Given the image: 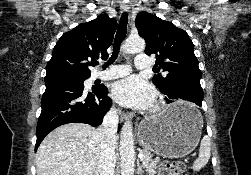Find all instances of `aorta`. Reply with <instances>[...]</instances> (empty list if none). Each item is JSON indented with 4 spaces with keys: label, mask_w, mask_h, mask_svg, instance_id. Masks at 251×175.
<instances>
[{
    "label": "aorta",
    "mask_w": 251,
    "mask_h": 175,
    "mask_svg": "<svg viewBox=\"0 0 251 175\" xmlns=\"http://www.w3.org/2000/svg\"><path fill=\"white\" fill-rule=\"evenodd\" d=\"M125 54H139L145 50V42L142 38H128L122 46ZM120 165L121 175H134L135 145L132 129V121L128 117L120 133Z\"/></svg>",
    "instance_id": "obj_1"
}]
</instances>
